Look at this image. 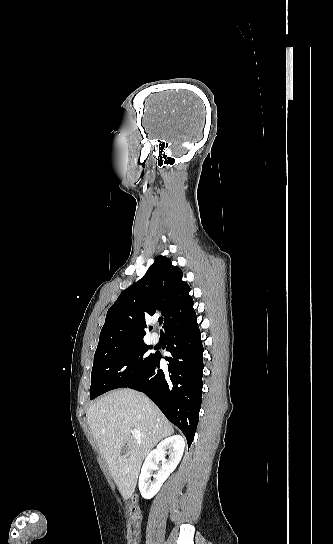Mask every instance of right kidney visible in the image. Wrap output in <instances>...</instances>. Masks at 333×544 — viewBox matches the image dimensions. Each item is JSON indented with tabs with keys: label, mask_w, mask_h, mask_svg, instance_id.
I'll list each match as a JSON object with an SVG mask.
<instances>
[{
	"label": "right kidney",
	"mask_w": 333,
	"mask_h": 544,
	"mask_svg": "<svg viewBox=\"0 0 333 544\" xmlns=\"http://www.w3.org/2000/svg\"><path fill=\"white\" fill-rule=\"evenodd\" d=\"M184 447V439L180 435H175L161 441L156 449L148 454L139 476V490L143 498L151 499L157 494L165 480L179 464ZM166 450L169 454L168 460L165 459ZM158 461L162 462L161 469L153 476L154 481H151V473L157 468Z\"/></svg>",
	"instance_id": "ca27d5eb"
}]
</instances>
